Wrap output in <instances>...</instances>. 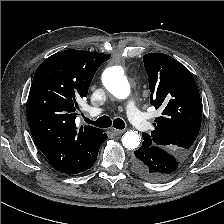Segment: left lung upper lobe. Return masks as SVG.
Listing matches in <instances>:
<instances>
[{"mask_svg":"<svg viewBox=\"0 0 224 224\" xmlns=\"http://www.w3.org/2000/svg\"><path fill=\"white\" fill-rule=\"evenodd\" d=\"M143 61L151 104L162 113L155 119L151 135L143 133L142 137L145 143L175 155L180 168L190 155L201 126L202 106L197 84L184 65L166 54H146ZM177 171L162 176V180L172 178Z\"/></svg>","mask_w":224,"mask_h":224,"instance_id":"obj_1","label":"left lung upper lobe"}]
</instances>
